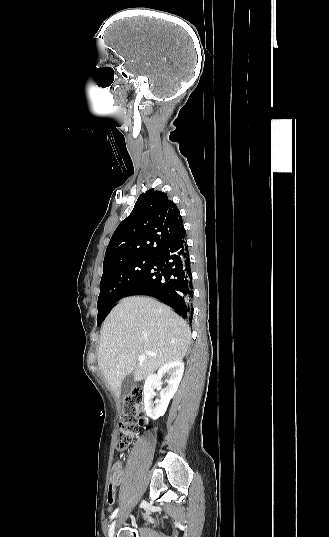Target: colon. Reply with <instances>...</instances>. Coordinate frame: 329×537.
Returning <instances> with one entry per match:
<instances>
[{
	"label": "colon",
	"mask_w": 329,
	"mask_h": 537,
	"mask_svg": "<svg viewBox=\"0 0 329 537\" xmlns=\"http://www.w3.org/2000/svg\"><path fill=\"white\" fill-rule=\"evenodd\" d=\"M144 403V392L140 387H135L124 399V408L120 422V429L116 435V450L125 451L131 444L137 429L143 423L141 416ZM119 479V471L110 485L109 495L114 493V486Z\"/></svg>",
	"instance_id": "colon-1"
}]
</instances>
